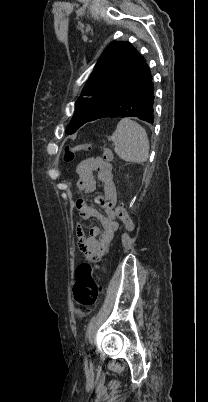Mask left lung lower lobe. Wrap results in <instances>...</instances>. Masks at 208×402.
I'll return each instance as SVG.
<instances>
[{
  "label": "left lung lower lobe",
  "mask_w": 208,
  "mask_h": 402,
  "mask_svg": "<svg viewBox=\"0 0 208 402\" xmlns=\"http://www.w3.org/2000/svg\"><path fill=\"white\" fill-rule=\"evenodd\" d=\"M137 117L142 121L154 122V84L150 68L145 62L142 69L121 93L119 99L99 117Z\"/></svg>",
  "instance_id": "1"
}]
</instances>
